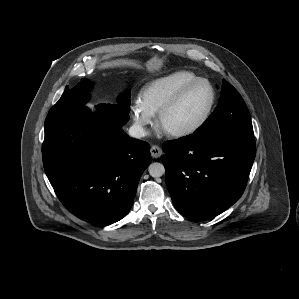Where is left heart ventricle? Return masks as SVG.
<instances>
[{"label":"left heart ventricle","instance_id":"obj_1","mask_svg":"<svg viewBox=\"0 0 299 299\" xmlns=\"http://www.w3.org/2000/svg\"><path fill=\"white\" fill-rule=\"evenodd\" d=\"M210 97V90L205 84H199L190 89L166 115L163 122L164 128L174 131L194 125L206 111Z\"/></svg>","mask_w":299,"mask_h":299}]
</instances>
